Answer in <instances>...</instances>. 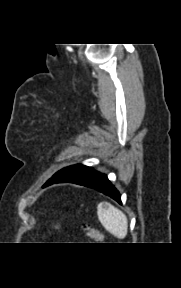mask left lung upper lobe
<instances>
[{"mask_svg":"<svg viewBox=\"0 0 181 288\" xmlns=\"http://www.w3.org/2000/svg\"><path fill=\"white\" fill-rule=\"evenodd\" d=\"M96 171L88 166L77 164L68 166L55 173L48 181H55L57 183H78L88 176L94 174ZM47 181V182H48Z\"/></svg>","mask_w":181,"mask_h":288,"instance_id":"obj_1","label":"left lung upper lobe"}]
</instances>
